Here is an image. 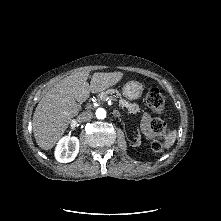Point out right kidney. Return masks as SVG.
<instances>
[{"label": "right kidney", "instance_id": "right-kidney-1", "mask_svg": "<svg viewBox=\"0 0 221 221\" xmlns=\"http://www.w3.org/2000/svg\"><path fill=\"white\" fill-rule=\"evenodd\" d=\"M79 152V140L77 137H63L55 149V158L61 163L73 161Z\"/></svg>", "mask_w": 221, "mask_h": 221}]
</instances>
